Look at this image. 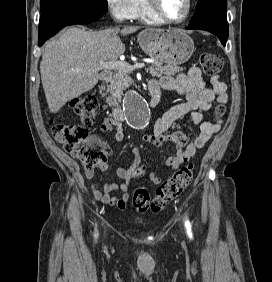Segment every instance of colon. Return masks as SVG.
<instances>
[{"label": "colon", "instance_id": "5ec220e1", "mask_svg": "<svg viewBox=\"0 0 272 282\" xmlns=\"http://www.w3.org/2000/svg\"><path fill=\"white\" fill-rule=\"evenodd\" d=\"M203 71L215 76L222 70V60L212 53H203L200 57ZM98 103L92 96H80L70 103V108L81 119V124H69L51 121V131L55 140L72 158L79 160L82 167L89 170L106 168L107 146L100 140H91L89 127L96 118ZM224 113V105L216 107V119ZM194 165L189 164L178 170L156 189L153 198L143 187H136L133 192V207L139 213L149 210L160 212L170 201L179 196L193 181ZM135 178V174L132 175Z\"/></svg>", "mask_w": 272, "mask_h": 282}]
</instances>
